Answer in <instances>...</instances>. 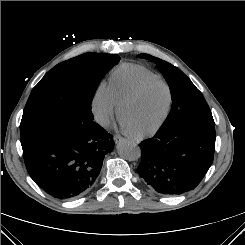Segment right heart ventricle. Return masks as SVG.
I'll use <instances>...</instances> for the list:
<instances>
[{
	"mask_svg": "<svg viewBox=\"0 0 245 245\" xmlns=\"http://www.w3.org/2000/svg\"><path fill=\"white\" fill-rule=\"evenodd\" d=\"M156 76L148 68L125 63L116 67L110 74L109 87L118 104H120L146 78Z\"/></svg>",
	"mask_w": 245,
	"mask_h": 245,
	"instance_id": "1",
	"label": "right heart ventricle"
}]
</instances>
